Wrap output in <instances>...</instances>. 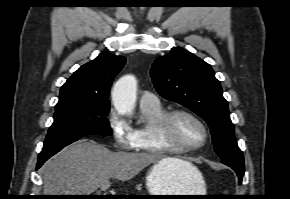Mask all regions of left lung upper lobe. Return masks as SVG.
<instances>
[{
    "label": "left lung upper lobe",
    "mask_w": 290,
    "mask_h": 199,
    "mask_svg": "<svg viewBox=\"0 0 290 199\" xmlns=\"http://www.w3.org/2000/svg\"><path fill=\"white\" fill-rule=\"evenodd\" d=\"M214 74L208 63L182 48L156 59L151 69L154 86L163 98L189 108L208 123L221 159H243Z\"/></svg>",
    "instance_id": "left-lung-upper-lobe-1"
}]
</instances>
